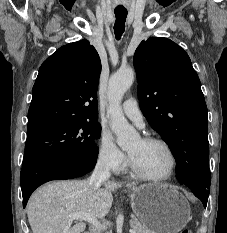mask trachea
I'll return each mask as SVG.
<instances>
[{"mask_svg":"<svg viewBox=\"0 0 227 233\" xmlns=\"http://www.w3.org/2000/svg\"><path fill=\"white\" fill-rule=\"evenodd\" d=\"M116 21L114 25V33L117 40H120L124 29L127 17V11H115Z\"/></svg>","mask_w":227,"mask_h":233,"instance_id":"trachea-1","label":"trachea"}]
</instances>
